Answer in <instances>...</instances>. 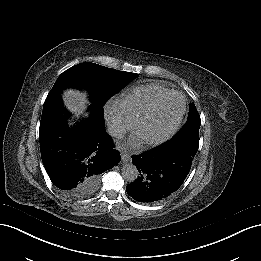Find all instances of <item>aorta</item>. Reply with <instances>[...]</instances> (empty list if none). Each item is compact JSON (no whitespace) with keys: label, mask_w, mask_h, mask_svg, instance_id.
I'll list each match as a JSON object with an SVG mask.
<instances>
[{"label":"aorta","mask_w":261,"mask_h":261,"mask_svg":"<svg viewBox=\"0 0 261 261\" xmlns=\"http://www.w3.org/2000/svg\"><path fill=\"white\" fill-rule=\"evenodd\" d=\"M121 171L126 182L133 183L139 177L138 168L133 163L123 164Z\"/></svg>","instance_id":"aorta-1"}]
</instances>
